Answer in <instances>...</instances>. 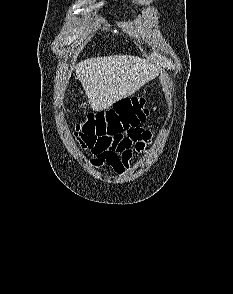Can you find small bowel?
<instances>
[{
	"mask_svg": "<svg viewBox=\"0 0 233 294\" xmlns=\"http://www.w3.org/2000/svg\"><path fill=\"white\" fill-rule=\"evenodd\" d=\"M126 137L133 138L122 149H110V151L106 150L96 153L98 157L92 163L97 167L103 165L109 166L117 173L123 172L128 165L133 149H142L145 143L151 139V134L148 131L138 128L136 132H126Z\"/></svg>",
	"mask_w": 233,
	"mask_h": 294,
	"instance_id": "1",
	"label": "small bowel"
}]
</instances>
